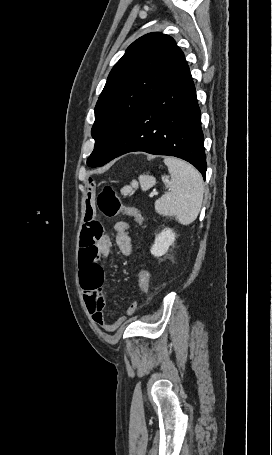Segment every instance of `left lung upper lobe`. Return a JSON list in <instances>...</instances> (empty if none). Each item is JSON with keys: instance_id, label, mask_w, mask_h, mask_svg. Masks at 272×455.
<instances>
[{"instance_id": "5c2ea615", "label": "left lung upper lobe", "mask_w": 272, "mask_h": 455, "mask_svg": "<svg viewBox=\"0 0 272 455\" xmlns=\"http://www.w3.org/2000/svg\"><path fill=\"white\" fill-rule=\"evenodd\" d=\"M187 66L184 53L165 34H146L128 47L95 106L88 166L101 164L137 114Z\"/></svg>"}]
</instances>
